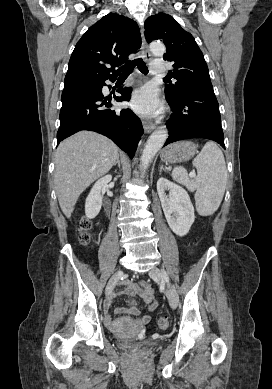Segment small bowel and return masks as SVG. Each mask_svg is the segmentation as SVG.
I'll return each instance as SVG.
<instances>
[{"label":"small bowel","instance_id":"1","mask_svg":"<svg viewBox=\"0 0 272 389\" xmlns=\"http://www.w3.org/2000/svg\"><path fill=\"white\" fill-rule=\"evenodd\" d=\"M120 293L141 297L145 301V303L148 304L149 309H153L156 306L154 290L152 286L149 284V282L143 281L140 283H127L124 285V288L120 292L115 293L113 297ZM110 304L111 301L107 303V309L110 308ZM138 312H135L134 314H137ZM149 321H150V317L148 315H144L140 318V322L142 324H146Z\"/></svg>","mask_w":272,"mask_h":389}]
</instances>
